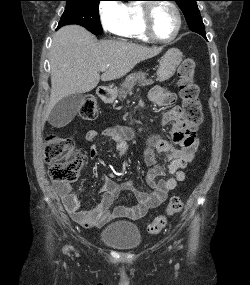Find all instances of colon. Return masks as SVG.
Segmentation results:
<instances>
[{
	"instance_id": "1",
	"label": "colon",
	"mask_w": 250,
	"mask_h": 285,
	"mask_svg": "<svg viewBox=\"0 0 250 285\" xmlns=\"http://www.w3.org/2000/svg\"><path fill=\"white\" fill-rule=\"evenodd\" d=\"M196 64L192 59H185L178 68L179 94L182 99L181 113L186 128L195 133L202 120V109L199 101V88L194 82ZM98 110L95 100L85 97L79 110L82 119L92 120ZM45 159L53 181L61 183L74 182L84 164L83 155L75 149L70 137L50 135L46 139ZM183 200L174 196L167 204L165 214L157 216L148 226L151 234H158L166 226L169 216L178 214L183 209Z\"/></svg>"
}]
</instances>
